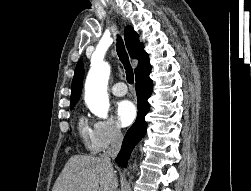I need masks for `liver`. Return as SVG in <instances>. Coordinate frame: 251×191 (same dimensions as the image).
Returning <instances> with one entry per match:
<instances>
[{
	"instance_id": "obj_1",
	"label": "liver",
	"mask_w": 251,
	"mask_h": 191,
	"mask_svg": "<svg viewBox=\"0 0 251 191\" xmlns=\"http://www.w3.org/2000/svg\"><path fill=\"white\" fill-rule=\"evenodd\" d=\"M113 167L101 157L71 155L57 177L52 191H116Z\"/></svg>"
}]
</instances>
